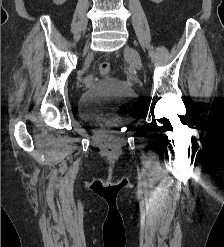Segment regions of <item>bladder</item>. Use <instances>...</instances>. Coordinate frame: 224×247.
<instances>
[{
	"instance_id": "31cf9c89",
	"label": "bladder",
	"mask_w": 224,
	"mask_h": 247,
	"mask_svg": "<svg viewBox=\"0 0 224 247\" xmlns=\"http://www.w3.org/2000/svg\"><path fill=\"white\" fill-rule=\"evenodd\" d=\"M137 102V94L124 83L102 79L82 94L78 114L92 125L120 127L133 119Z\"/></svg>"
}]
</instances>
